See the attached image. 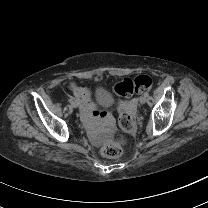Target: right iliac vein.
Instances as JSON below:
<instances>
[{
	"label": "right iliac vein",
	"mask_w": 208,
	"mask_h": 208,
	"mask_svg": "<svg viewBox=\"0 0 208 208\" xmlns=\"http://www.w3.org/2000/svg\"><path fill=\"white\" fill-rule=\"evenodd\" d=\"M72 107H73V108H77V107H78V103H77L76 101H74V102L72 103Z\"/></svg>",
	"instance_id": "obj_1"
}]
</instances>
